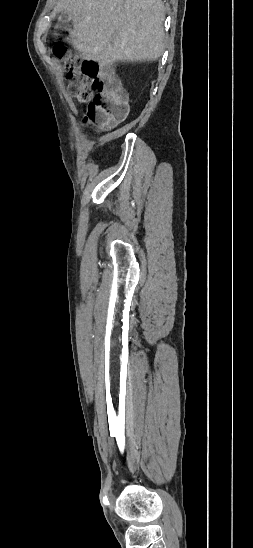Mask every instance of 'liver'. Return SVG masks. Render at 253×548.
Wrapping results in <instances>:
<instances>
[{"label":"liver","mask_w":253,"mask_h":548,"mask_svg":"<svg viewBox=\"0 0 253 548\" xmlns=\"http://www.w3.org/2000/svg\"><path fill=\"white\" fill-rule=\"evenodd\" d=\"M53 12L69 15L74 48L100 67L154 61L164 52L161 0H58Z\"/></svg>","instance_id":"1"}]
</instances>
